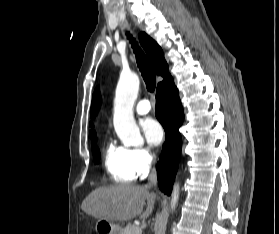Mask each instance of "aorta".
Wrapping results in <instances>:
<instances>
[{
	"label": "aorta",
	"instance_id": "aorta-1",
	"mask_svg": "<svg viewBox=\"0 0 279 234\" xmlns=\"http://www.w3.org/2000/svg\"><path fill=\"white\" fill-rule=\"evenodd\" d=\"M139 77L133 72L120 75L114 99V129L124 145H138L143 139L135 122L133 106L138 95ZM179 197V186L175 185L172 193L171 208H174Z\"/></svg>",
	"mask_w": 279,
	"mask_h": 234
}]
</instances>
